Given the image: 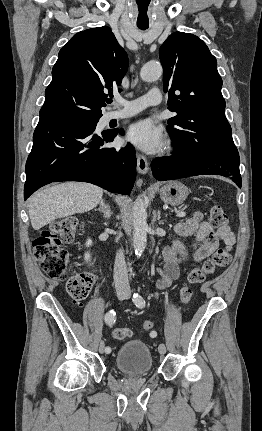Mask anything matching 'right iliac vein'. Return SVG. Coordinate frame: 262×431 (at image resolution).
Instances as JSON below:
<instances>
[{"instance_id":"right-iliac-vein-1","label":"right iliac vein","mask_w":262,"mask_h":431,"mask_svg":"<svg viewBox=\"0 0 262 431\" xmlns=\"http://www.w3.org/2000/svg\"><path fill=\"white\" fill-rule=\"evenodd\" d=\"M126 292L125 291H119L118 293H117V296H118V298L120 299V300H122V299H124L125 297H126ZM99 352L101 353V354H103L104 352H105V343H104V341H101L100 343H99Z\"/></svg>"}]
</instances>
